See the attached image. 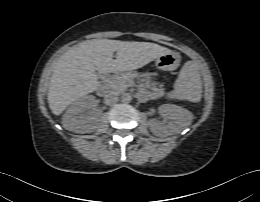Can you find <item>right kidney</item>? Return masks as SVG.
<instances>
[{
    "label": "right kidney",
    "mask_w": 260,
    "mask_h": 202,
    "mask_svg": "<svg viewBox=\"0 0 260 202\" xmlns=\"http://www.w3.org/2000/svg\"><path fill=\"white\" fill-rule=\"evenodd\" d=\"M94 102L95 97L92 95L84 96L74 102L63 115V127L68 131L81 134L94 131L100 123L101 113L99 111L86 112Z\"/></svg>",
    "instance_id": "obj_1"
}]
</instances>
